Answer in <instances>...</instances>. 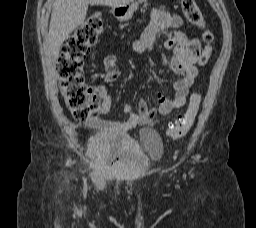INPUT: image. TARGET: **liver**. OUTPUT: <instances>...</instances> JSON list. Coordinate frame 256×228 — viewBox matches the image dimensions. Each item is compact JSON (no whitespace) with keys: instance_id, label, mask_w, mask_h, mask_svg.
<instances>
[{"instance_id":"6515ba94","label":"liver","mask_w":256,"mask_h":228,"mask_svg":"<svg viewBox=\"0 0 256 228\" xmlns=\"http://www.w3.org/2000/svg\"><path fill=\"white\" fill-rule=\"evenodd\" d=\"M131 1L132 0H55L48 34V48L52 59H58L62 43L84 22L89 4L122 7Z\"/></svg>"}]
</instances>
